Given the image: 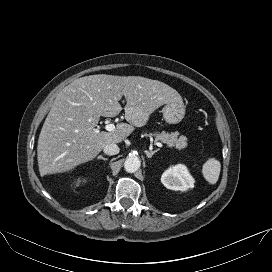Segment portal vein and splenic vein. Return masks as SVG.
<instances>
[{"instance_id":"1","label":"portal vein and splenic vein","mask_w":272,"mask_h":272,"mask_svg":"<svg viewBox=\"0 0 272 272\" xmlns=\"http://www.w3.org/2000/svg\"><path fill=\"white\" fill-rule=\"evenodd\" d=\"M105 129L109 132H112L115 130V125L112 124V123H109L105 126ZM155 144L158 146V147H162L163 145L160 143V142H155Z\"/></svg>"}]
</instances>
